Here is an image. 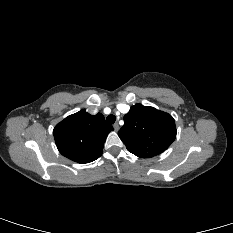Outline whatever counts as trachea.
Here are the masks:
<instances>
[{
    "instance_id": "3493384b",
    "label": "trachea",
    "mask_w": 233,
    "mask_h": 233,
    "mask_svg": "<svg viewBox=\"0 0 233 233\" xmlns=\"http://www.w3.org/2000/svg\"><path fill=\"white\" fill-rule=\"evenodd\" d=\"M106 121L108 124H113L116 121V117L114 115H108Z\"/></svg>"
}]
</instances>
